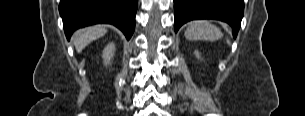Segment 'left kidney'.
Listing matches in <instances>:
<instances>
[{"mask_svg":"<svg viewBox=\"0 0 305 116\" xmlns=\"http://www.w3.org/2000/svg\"><path fill=\"white\" fill-rule=\"evenodd\" d=\"M194 54H195L196 57L200 58V54H199L198 51H195Z\"/></svg>","mask_w":305,"mask_h":116,"instance_id":"1","label":"left kidney"}]
</instances>
